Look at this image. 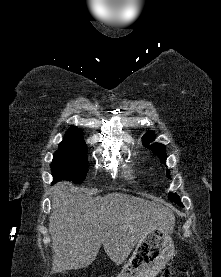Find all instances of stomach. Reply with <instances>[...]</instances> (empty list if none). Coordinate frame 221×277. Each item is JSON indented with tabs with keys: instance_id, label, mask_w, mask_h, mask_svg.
<instances>
[{
	"instance_id": "obj_1",
	"label": "stomach",
	"mask_w": 221,
	"mask_h": 277,
	"mask_svg": "<svg viewBox=\"0 0 221 277\" xmlns=\"http://www.w3.org/2000/svg\"><path fill=\"white\" fill-rule=\"evenodd\" d=\"M174 252L171 233L157 228L139 240L118 277H155L172 259Z\"/></svg>"
}]
</instances>
